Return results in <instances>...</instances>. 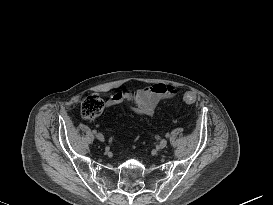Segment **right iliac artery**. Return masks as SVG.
<instances>
[{
    "instance_id": "right-iliac-artery-1",
    "label": "right iliac artery",
    "mask_w": 273,
    "mask_h": 205,
    "mask_svg": "<svg viewBox=\"0 0 273 205\" xmlns=\"http://www.w3.org/2000/svg\"><path fill=\"white\" fill-rule=\"evenodd\" d=\"M92 132H93L94 134H96V133H97V131H96V130H93Z\"/></svg>"
}]
</instances>
